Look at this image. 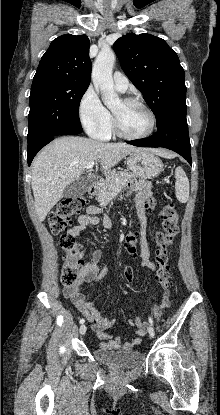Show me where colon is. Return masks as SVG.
Wrapping results in <instances>:
<instances>
[{
  "mask_svg": "<svg viewBox=\"0 0 220 415\" xmlns=\"http://www.w3.org/2000/svg\"><path fill=\"white\" fill-rule=\"evenodd\" d=\"M86 204L83 196L67 198L61 201L55 209L49 214L48 226L50 231L59 237V245L65 253V258L61 270V283L70 287L78 279L80 267L82 264L80 258L81 245L76 238L69 234L72 225V219ZM162 220V229L156 234V257H157V279L163 289V299L161 302L162 309H168L171 306L170 286L171 275L167 270V263L171 253V247L174 237L178 231V213L175 206L171 203L165 204L160 211ZM129 253L136 251V246L126 247ZM124 279L131 282L133 275L130 269L124 270Z\"/></svg>",
  "mask_w": 220,
  "mask_h": 415,
  "instance_id": "5ec220e1",
  "label": "colon"
}]
</instances>
